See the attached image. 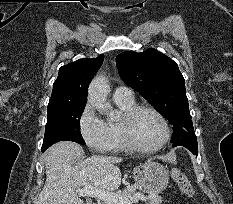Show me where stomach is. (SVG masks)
<instances>
[{
  "label": "stomach",
  "mask_w": 233,
  "mask_h": 204,
  "mask_svg": "<svg viewBox=\"0 0 233 204\" xmlns=\"http://www.w3.org/2000/svg\"><path fill=\"white\" fill-rule=\"evenodd\" d=\"M133 177L137 185L148 193H161L168 185L169 173L158 162L147 161L133 169Z\"/></svg>",
  "instance_id": "0dacf381"
}]
</instances>
